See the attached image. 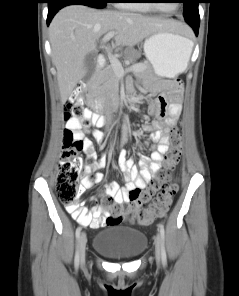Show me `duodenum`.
Wrapping results in <instances>:
<instances>
[{
  "label": "duodenum",
  "mask_w": 239,
  "mask_h": 296,
  "mask_svg": "<svg viewBox=\"0 0 239 296\" xmlns=\"http://www.w3.org/2000/svg\"><path fill=\"white\" fill-rule=\"evenodd\" d=\"M106 62H107L106 57H105L104 55H99V56L97 57V59H96V70H101V69H103L104 66L106 65ZM84 90H85V86L82 85V84H79V85L77 86V88L75 89L74 96L77 98L78 95H79L80 93H82ZM90 100H92V99L90 98ZM123 102H124V100H123L122 98H118V99L116 100V102H115V105H116V106H119V105H121ZM92 105L95 106V107H98V105H96L93 101H92ZM95 124H96L97 126H99V127H100V126H103V125H104V118L99 117V119L96 121Z\"/></svg>",
  "instance_id": "1"
}]
</instances>
